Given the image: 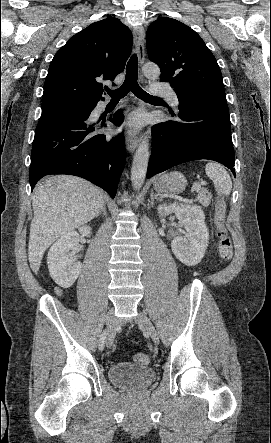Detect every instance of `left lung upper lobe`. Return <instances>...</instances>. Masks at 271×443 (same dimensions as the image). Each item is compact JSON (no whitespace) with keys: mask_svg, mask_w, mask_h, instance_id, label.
Segmentation results:
<instances>
[{"mask_svg":"<svg viewBox=\"0 0 271 443\" xmlns=\"http://www.w3.org/2000/svg\"><path fill=\"white\" fill-rule=\"evenodd\" d=\"M146 41L149 59L159 65L160 78L170 81L175 92L193 89L226 97L217 60L190 27L162 17L149 26Z\"/></svg>","mask_w":271,"mask_h":443,"instance_id":"1","label":"left lung upper lobe"}]
</instances>
